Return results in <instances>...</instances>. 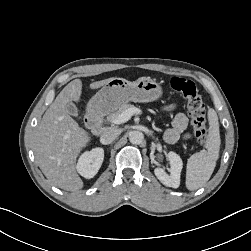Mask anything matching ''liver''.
Here are the masks:
<instances>
[{
    "instance_id": "1",
    "label": "liver",
    "mask_w": 251,
    "mask_h": 251,
    "mask_svg": "<svg viewBox=\"0 0 251 251\" xmlns=\"http://www.w3.org/2000/svg\"><path fill=\"white\" fill-rule=\"evenodd\" d=\"M112 79L93 82L90 88L98 89ZM81 94L80 79L67 84L46 110L34 134L33 150L40 169L50 183L67 191L83 187L76 172V159L91 140L66 109L72 101L79 102Z\"/></svg>"
}]
</instances>
